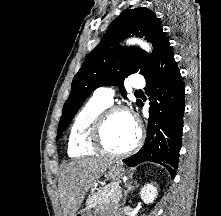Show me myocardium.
<instances>
[{"mask_svg":"<svg viewBox=\"0 0 221 216\" xmlns=\"http://www.w3.org/2000/svg\"><path fill=\"white\" fill-rule=\"evenodd\" d=\"M117 113H124L128 115L132 121L134 122L135 128H136V139L135 141L126 149L121 151H113L109 149L103 140V134L105 126L108 122V120ZM143 141V129L141 124L132 116L130 111L123 106H112L106 108L100 116L96 119L94 122L91 130H90V144L91 146L98 152L103 153L108 156L112 157H123L127 156L131 153H133L135 150L139 148V146L142 144Z\"/></svg>","mask_w":221,"mask_h":216,"instance_id":"obj_1","label":"myocardium"}]
</instances>
